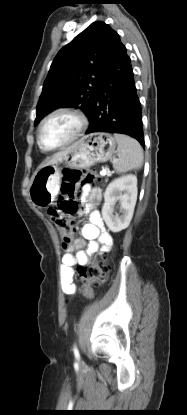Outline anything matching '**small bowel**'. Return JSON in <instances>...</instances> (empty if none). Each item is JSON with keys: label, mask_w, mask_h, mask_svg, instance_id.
<instances>
[{"label": "small bowel", "mask_w": 187, "mask_h": 415, "mask_svg": "<svg viewBox=\"0 0 187 415\" xmlns=\"http://www.w3.org/2000/svg\"><path fill=\"white\" fill-rule=\"evenodd\" d=\"M81 199L84 202L80 215H88L89 222L81 228V234L72 244L67 245V252L61 260V289L66 295H73L76 286L73 282L74 266H86L93 254L105 252L113 245L112 236L106 231L100 211L96 209L103 200L98 187L82 186Z\"/></svg>", "instance_id": "small-bowel-1"}]
</instances>
